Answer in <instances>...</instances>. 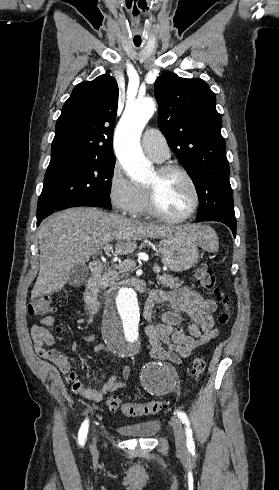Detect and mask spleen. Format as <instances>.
Listing matches in <instances>:
<instances>
[{"label":"spleen","instance_id":"3e777b00","mask_svg":"<svg viewBox=\"0 0 279 490\" xmlns=\"http://www.w3.org/2000/svg\"><path fill=\"white\" fill-rule=\"evenodd\" d=\"M197 244L201 246L202 250H206V252H218L219 242L215 230L210 228V226H204L201 238Z\"/></svg>","mask_w":279,"mask_h":490}]
</instances>
